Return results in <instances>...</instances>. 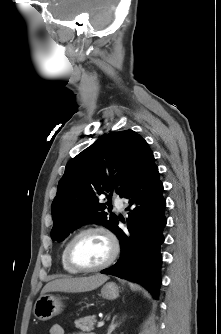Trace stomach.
Returning <instances> with one entry per match:
<instances>
[{
  "label": "stomach",
  "mask_w": 221,
  "mask_h": 334,
  "mask_svg": "<svg viewBox=\"0 0 221 334\" xmlns=\"http://www.w3.org/2000/svg\"><path fill=\"white\" fill-rule=\"evenodd\" d=\"M119 287L114 282H108L101 288V295L104 299L114 300L119 296ZM63 304L59 297L51 294L40 296L35 302L33 313L34 316L41 320L47 321L53 316L59 314Z\"/></svg>",
  "instance_id": "1"
}]
</instances>
